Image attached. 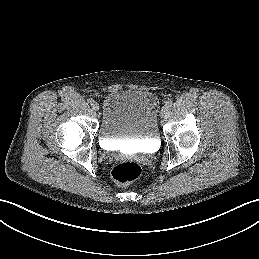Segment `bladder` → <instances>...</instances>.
Masks as SVG:
<instances>
[{
  "label": "bladder",
  "mask_w": 259,
  "mask_h": 259,
  "mask_svg": "<svg viewBox=\"0 0 259 259\" xmlns=\"http://www.w3.org/2000/svg\"><path fill=\"white\" fill-rule=\"evenodd\" d=\"M159 100L150 91L126 89L108 93L102 102L100 141L148 145L158 139Z\"/></svg>",
  "instance_id": "bladder-1"
}]
</instances>
